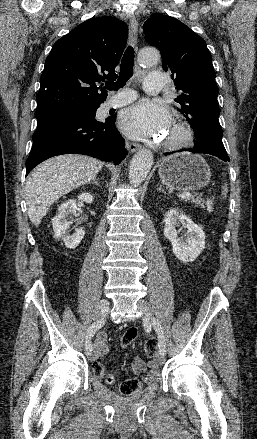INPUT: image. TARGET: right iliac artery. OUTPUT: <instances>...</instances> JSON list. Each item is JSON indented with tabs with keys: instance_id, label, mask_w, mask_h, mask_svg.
Instances as JSON below:
<instances>
[{
	"instance_id": "right-iliac-artery-1",
	"label": "right iliac artery",
	"mask_w": 257,
	"mask_h": 439,
	"mask_svg": "<svg viewBox=\"0 0 257 439\" xmlns=\"http://www.w3.org/2000/svg\"><path fill=\"white\" fill-rule=\"evenodd\" d=\"M105 321L103 319L97 320L92 323V325L88 328L85 340V353L89 355L92 352L91 340L96 334V332L104 325Z\"/></svg>"
}]
</instances>
